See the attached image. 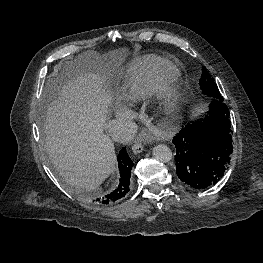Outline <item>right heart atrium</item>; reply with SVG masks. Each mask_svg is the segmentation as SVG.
<instances>
[{
	"mask_svg": "<svg viewBox=\"0 0 263 263\" xmlns=\"http://www.w3.org/2000/svg\"><path fill=\"white\" fill-rule=\"evenodd\" d=\"M119 115L122 116V117H127L128 113L125 110H120L119 111Z\"/></svg>",
	"mask_w": 263,
	"mask_h": 263,
	"instance_id": "d8ad5b80",
	"label": "right heart atrium"
}]
</instances>
